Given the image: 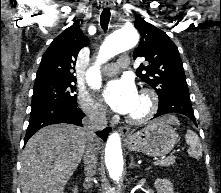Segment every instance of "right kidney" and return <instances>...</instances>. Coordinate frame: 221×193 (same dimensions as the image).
<instances>
[{"instance_id":"ca27d5eb","label":"right kidney","mask_w":221,"mask_h":193,"mask_svg":"<svg viewBox=\"0 0 221 193\" xmlns=\"http://www.w3.org/2000/svg\"><path fill=\"white\" fill-rule=\"evenodd\" d=\"M72 191H73V193H78L77 187L73 188Z\"/></svg>"}]
</instances>
